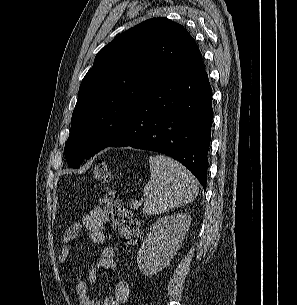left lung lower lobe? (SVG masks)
I'll use <instances>...</instances> for the list:
<instances>
[{
  "label": "left lung lower lobe",
  "mask_w": 297,
  "mask_h": 305,
  "mask_svg": "<svg viewBox=\"0 0 297 305\" xmlns=\"http://www.w3.org/2000/svg\"><path fill=\"white\" fill-rule=\"evenodd\" d=\"M212 119V90L202 68L153 88L106 147L166 154L186 166L206 189Z\"/></svg>",
  "instance_id": "0a47b994"
}]
</instances>
